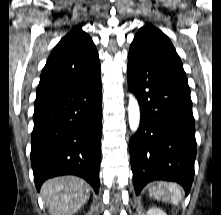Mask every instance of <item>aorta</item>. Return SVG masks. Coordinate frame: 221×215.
<instances>
[{
    "mask_svg": "<svg viewBox=\"0 0 221 215\" xmlns=\"http://www.w3.org/2000/svg\"><path fill=\"white\" fill-rule=\"evenodd\" d=\"M128 118L131 131H137L140 123V108L136 98L133 95L129 96Z\"/></svg>",
    "mask_w": 221,
    "mask_h": 215,
    "instance_id": "aorta-1",
    "label": "aorta"
}]
</instances>
